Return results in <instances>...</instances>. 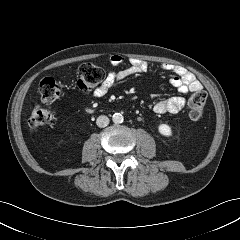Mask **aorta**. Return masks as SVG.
Instances as JSON below:
<instances>
[{
	"label": "aorta",
	"mask_w": 240,
	"mask_h": 240,
	"mask_svg": "<svg viewBox=\"0 0 240 240\" xmlns=\"http://www.w3.org/2000/svg\"><path fill=\"white\" fill-rule=\"evenodd\" d=\"M123 115L121 113H114L113 116H112V121L115 123V124H120L123 122Z\"/></svg>",
	"instance_id": "762f6f07"
}]
</instances>
